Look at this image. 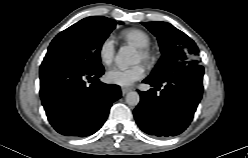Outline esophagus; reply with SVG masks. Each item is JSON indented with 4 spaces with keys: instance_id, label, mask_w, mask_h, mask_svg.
Here are the masks:
<instances>
[{
    "instance_id": "esophagus-1",
    "label": "esophagus",
    "mask_w": 248,
    "mask_h": 158,
    "mask_svg": "<svg viewBox=\"0 0 248 158\" xmlns=\"http://www.w3.org/2000/svg\"><path fill=\"white\" fill-rule=\"evenodd\" d=\"M121 91H122V94H123V95H126L129 91H131V89L128 88V87H122V88H121Z\"/></svg>"
}]
</instances>
